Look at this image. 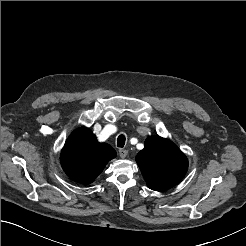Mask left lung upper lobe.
<instances>
[{
  "label": "left lung upper lobe",
  "instance_id": "1",
  "mask_svg": "<svg viewBox=\"0 0 246 246\" xmlns=\"http://www.w3.org/2000/svg\"><path fill=\"white\" fill-rule=\"evenodd\" d=\"M136 161L150 189L163 191L177 185L188 169L184 153L170 140L150 136Z\"/></svg>",
  "mask_w": 246,
  "mask_h": 246
}]
</instances>
